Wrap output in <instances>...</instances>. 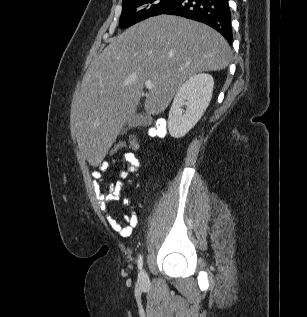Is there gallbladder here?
Instances as JSON below:
<instances>
[{
    "instance_id": "bac80fb5",
    "label": "gallbladder",
    "mask_w": 307,
    "mask_h": 317,
    "mask_svg": "<svg viewBox=\"0 0 307 317\" xmlns=\"http://www.w3.org/2000/svg\"><path fill=\"white\" fill-rule=\"evenodd\" d=\"M142 118L143 116L137 113L131 115L127 121L128 128H135L140 126L142 124Z\"/></svg>"
}]
</instances>
